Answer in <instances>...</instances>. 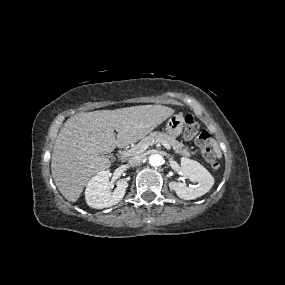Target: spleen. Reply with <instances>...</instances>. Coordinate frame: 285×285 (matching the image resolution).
<instances>
[{"label":"spleen","mask_w":285,"mask_h":285,"mask_svg":"<svg viewBox=\"0 0 285 285\" xmlns=\"http://www.w3.org/2000/svg\"><path fill=\"white\" fill-rule=\"evenodd\" d=\"M213 150L216 153V156L218 158H221V156H222L221 150H220L218 144L215 141L213 142Z\"/></svg>","instance_id":"1"}]
</instances>
